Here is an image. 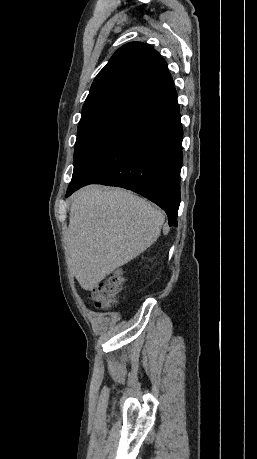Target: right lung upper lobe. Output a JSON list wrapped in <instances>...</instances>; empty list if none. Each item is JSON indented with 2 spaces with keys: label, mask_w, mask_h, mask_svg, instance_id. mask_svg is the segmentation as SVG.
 I'll list each match as a JSON object with an SVG mask.
<instances>
[{
  "label": "right lung upper lobe",
  "mask_w": 257,
  "mask_h": 459,
  "mask_svg": "<svg viewBox=\"0 0 257 459\" xmlns=\"http://www.w3.org/2000/svg\"><path fill=\"white\" fill-rule=\"evenodd\" d=\"M174 89L167 64L151 46L123 45L99 72L82 115L110 107L140 111Z\"/></svg>",
  "instance_id": "1"
}]
</instances>
